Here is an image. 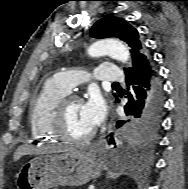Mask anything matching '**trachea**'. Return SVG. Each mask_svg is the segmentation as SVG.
I'll return each mask as SVG.
<instances>
[{"label": "trachea", "mask_w": 188, "mask_h": 189, "mask_svg": "<svg viewBox=\"0 0 188 189\" xmlns=\"http://www.w3.org/2000/svg\"><path fill=\"white\" fill-rule=\"evenodd\" d=\"M113 85H118V82H114Z\"/></svg>", "instance_id": "obj_1"}]
</instances>
